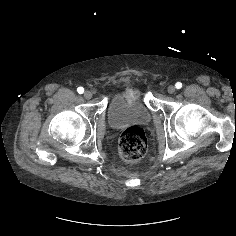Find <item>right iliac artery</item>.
<instances>
[{"label":"right iliac artery","mask_w":236,"mask_h":236,"mask_svg":"<svg viewBox=\"0 0 236 236\" xmlns=\"http://www.w3.org/2000/svg\"><path fill=\"white\" fill-rule=\"evenodd\" d=\"M77 92H78L79 94H82V93L84 92V88H83V87H78V88H77Z\"/></svg>","instance_id":"obj_1"}]
</instances>
